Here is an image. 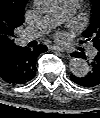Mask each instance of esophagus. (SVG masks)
Listing matches in <instances>:
<instances>
[{
  "label": "esophagus",
  "instance_id": "34e87169",
  "mask_svg": "<svg viewBox=\"0 0 100 118\" xmlns=\"http://www.w3.org/2000/svg\"><path fill=\"white\" fill-rule=\"evenodd\" d=\"M50 48L55 50V51H58V52H64L65 51L64 48L59 47V46H51Z\"/></svg>",
  "mask_w": 100,
  "mask_h": 118
}]
</instances>
